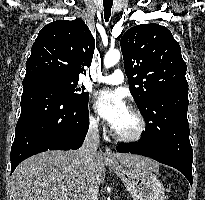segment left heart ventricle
I'll return each mask as SVG.
<instances>
[{
    "mask_svg": "<svg viewBox=\"0 0 205 200\" xmlns=\"http://www.w3.org/2000/svg\"><path fill=\"white\" fill-rule=\"evenodd\" d=\"M138 122L136 117L128 110L114 130L121 134H132L136 131Z\"/></svg>",
    "mask_w": 205,
    "mask_h": 200,
    "instance_id": "obj_1",
    "label": "left heart ventricle"
}]
</instances>
